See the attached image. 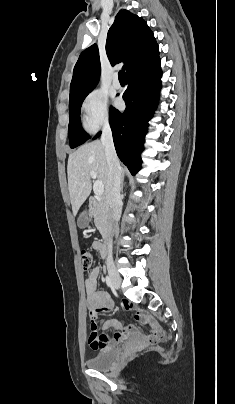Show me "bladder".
I'll return each instance as SVG.
<instances>
[{
    "instance_id": "obj_1",
    "label": "bladder",
    "mask_w": 235,
    "mask_h": 404,
    "mask_svg": "<svg viewBox=\"0 0 235 404\" xmlns=\"http://www.w3.org/2000/svg\"><path fill=\"white\" fill-rule=\"evenodd\" d=\"M121 358V350L118 347H103L92 356L87 364L94 370H107Z\"/></svg>"
}]
</instances>
